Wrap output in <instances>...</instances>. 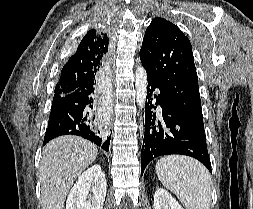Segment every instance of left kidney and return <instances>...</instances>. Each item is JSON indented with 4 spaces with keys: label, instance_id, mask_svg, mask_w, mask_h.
Returning a JSON list of instances; mask_svg holds the SVG:
<instances>
[{
    "label": "left kidney",
    "instance_id": "obj_1",
    "mask_svg": "<svg viewBox=\"0 0 253 209\" xmlns=\"http://www.w3.org/2000/svg\"><path fill=\"white\" fill-rule=\"evenodd\" d=\"M154 209H183V207L167 190L158 188L154 194Z\"/></svg>",
    "mask_w": 253,
    "mask_h": 209
}]
</instances>
